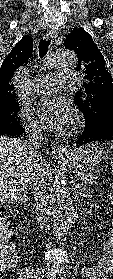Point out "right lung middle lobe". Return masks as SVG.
Instances as JSON below:
<instances>
[{
	"mask_svg": "<svg viewBox=\"0 0 113 279\" xmlns=\"http://www.w3.org/2000/svg\"><path fill=\"white\" fill-rule=\"evenodd\" d=\"M19 109L18 102L0 108V134L12 129L22 128L20 117L18 116Z\"/></svg>",
	"mask_w": 113,
	"mask_h": 279,
	"instance_id": "obj_1",
	"label": "right lung middle lobe"
}]
</instances>
